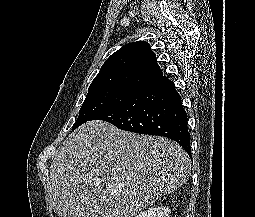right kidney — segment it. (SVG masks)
<instances>
[{
    "label": "right kidney",
    "mask_w": 255,
    "mask_h": 217,
    "mask_svg": "<svg viewBox=\"0 0 255 217\" xmlns=\"http://www.w3.org/2000/svg\"><path fill=\"white\" fill-rule=\"evenodd\" d=\"M170 209L166 206H154L141 212L136 217H169Z\"/></svg>",
    "instance_id": "obj_1"
}]
</instances>
